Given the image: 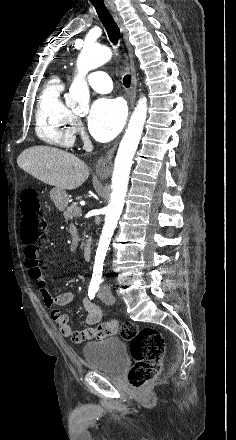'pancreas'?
<instances>
[{
	"mask_svg": "<svg viewBox=\"0 0 236 440\" xmlns=\"http://www.w3.org/2000/svg\"><path fill=\"white\" fill-rule=\"evenodd\" d=\"M78 209H81V208H79L77 204H73L70 207H68L67 210L64 211V213H63L65 221L67 222L69 220H72L74 217L79 216L80 214L77 213ZM83 246H84V243L81 244V248Z\"/></svg>",
	"mask_w": 236,
	"mask_h": 440,
	"instance_id": "1",
	"label": "pancreas"
}]
</instances>
